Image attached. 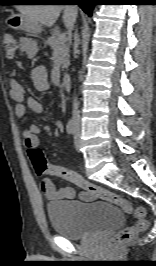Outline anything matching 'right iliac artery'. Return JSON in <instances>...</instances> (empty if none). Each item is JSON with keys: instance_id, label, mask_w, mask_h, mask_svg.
Segmentation results:
<instances>
[{"instance_id": "obj_1", "label": "right iliac artery", "mask_w": 156, "mask_h": 266, "mask_svg": "<svg viewBox=\"0 0 156 266\" xmlns=\"http://www.w3.org/2000/svg\"><path fill=\"white\" fill-rule=\"evenodd\" d=\"M66 130L69 134H74L76 130V122L74 119H70L67 123Z\"/></svg>"}]
</instances>
